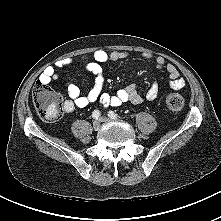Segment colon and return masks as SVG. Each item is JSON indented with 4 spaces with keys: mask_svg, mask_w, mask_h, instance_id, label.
Instances as JSON below:
<instances>
[{
    "mask_svg": "<svg viewBox=\"0 0 221 221\" xmlns=\"http://www.w3.org/2000/svg\"><path fill=\"white\" fill-rule=\"evenodd\" d=\"M32 102L39 114L45 120H58L64 110L61 98L49 87L47 83L38 81L32 90ZM166 107L173 112H180L184 107L182 96L170 93L165 98Z\"/></svg>",
    "mask_w": 221,
    "mask_h": 221,
    "instance_id": "1",
    "label": "colon"
}]
</instances>
